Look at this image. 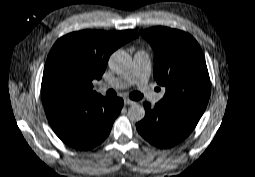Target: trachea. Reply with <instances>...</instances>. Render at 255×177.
I'll use <instances>...</instances> for the list:
<instances>
[{"mask_svg":"<svg viewBox=\"0 0 255 177\" xmlns=\"http://www.w3.org/2000/svg\"><path fill=\"white\" fill-rule=\"evenodd\" d=\"M106 94L107 96H110V97L116 96V92L111 89L108 90ZM129 96L131 99H134V100H139L143 97V95L139 92H132Z\"/></svg>","mask_w":255,"mask_h":177,"instance_id":"3493384b","label":"trachea"}]
</instances>
